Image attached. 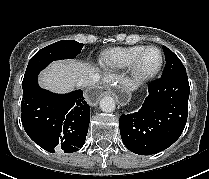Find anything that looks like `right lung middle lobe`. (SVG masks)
I'll use <instances>...</instances> for the list:
<instances>
[{"instance_id":"1","label":"right lung middle lobe","mask_w":209,"mask_h":179,"mask_svg":"<svg viewBox=\"0 0 209 179\" xmlns=\"http://www.w3.org/2000/svg\"><path fill=\"white\" fill-rule=\"evenodd\" d=\"M84 44L74 40H62L38 51L29 61L22 87L29 83L39 72L54 60L75 58Z\"/></svg>"}]
</instances>
